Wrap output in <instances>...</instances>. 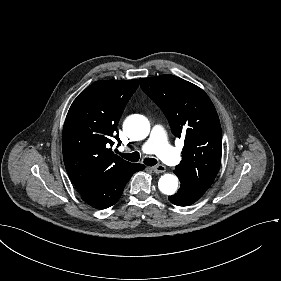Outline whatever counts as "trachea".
Segmentation results:
<instances>
[{
	"label": "trachea",
	"mask_w": 281,
	"mask_h": 281,
	"mask_svg": "<svg viewBox=\"0 0 281 281\" xmlns=\"http://www.w3.org/2000/svg\"><path fill=\"white\" fill-rule=\"evenodd\" d=\"M120 155L128 160V161H132V162H137L139 161L140 159V155H139V152H133V153H130V154H127V153H120ZM144 164L145 165H148V166H154L157 164V160L154 159V158H145L144 159Z\"/></svg>",
	"instance_id": "1"
}]
</instances>
